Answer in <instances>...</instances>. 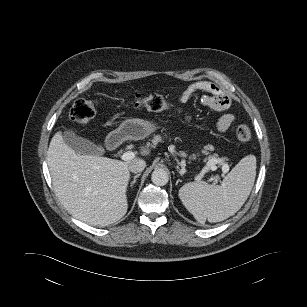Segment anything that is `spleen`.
I'll list each match as a JSON object with an SVG mask.
<instances>
[{
	"instance_id": "3e777b00",
	"label": "spleen",
	"mask_w": 307,
	"mask_h": 307,
	"mask_svg": "<svg viewBox=\"0 0 307 307\" xmlns=\"http://www.w3.org/2000/svg\"><path fill=\"white\" fill-rule=\"evenodd\" d=\"M255 177L256 157L248 155L225 176L221 185L190 182L180 188L179 198L198 222H220L243 206Z\"/></svg>"
}]
</instances>
